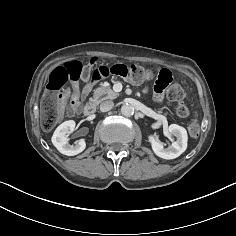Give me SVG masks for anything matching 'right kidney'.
I'll list each match as a JSON object with an SVG mask.
<instances>
[{
	"mask_svg": "<svg viewBox=\"0 0 236 236\" xmlns=\"http://www.w3.org/2000/svg\"><path fill=\"white\" fill-rule=\"evenodd\" d=\"M75 121L68 120L60 124L55 130L52 136V143L57 148V150L67 156H74L81 153L85 147L86 143L83 139L76 141L74 144H69L68 133L74 131Z\"/></svg>",
	"mask_w": 236,
	"mask_h": 236,
	"instance_id": "obj_1",
	"label": "right kidney"
}]
</instances>
